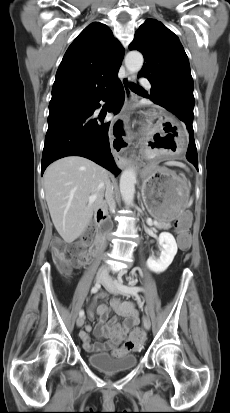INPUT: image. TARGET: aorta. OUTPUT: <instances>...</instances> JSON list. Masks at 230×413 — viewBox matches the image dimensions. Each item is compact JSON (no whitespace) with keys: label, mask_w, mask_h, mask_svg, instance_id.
I'll return each instance as SVG.
<instances>
[{"label":"aorta","mask_w":230,"mask_h":413,"mask_svg":"<svg viewBox=\"0 0 230 413\" xmlns=\"http://www.w3.org/2000/svg\"><path fill=\"white\" fill-rule=\"evenodd\" d=\"M143 55L138 51H131L125 57V66L130 73H137L143 66ZM136 171L134 168L125 169L120 177V192L127 206L134 203Z\"/></svg>","instance_id":"aorta-1"}]
</instances>
